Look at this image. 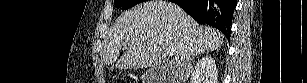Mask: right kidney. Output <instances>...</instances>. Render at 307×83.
I'll return each instance as SVG.
<instances>
[{
  "instance_id": "right-kidney-1",
  "label": "right kidney",
  "mask_w": 307,
  "mask_h": 83,
  "mask_svg": "<svg viewBox=\"0 0 307 83\" xmlns=\"http://www.w3.org/2000/svg\"><path fill=\"white\" fill-rule=\"evenodd\" d=\"M218 70L215 60L211 56L200 59L190 78V83H217Z\"/></svg>"
}]
</instances>
